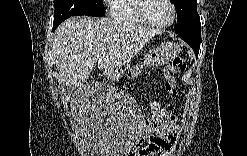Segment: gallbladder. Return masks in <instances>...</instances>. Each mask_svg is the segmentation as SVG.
I'll return each mask as SVG.
<instances>
[{"label": "gallbladder", "mask_w": 247, "mask_h": 156, "mask_svg": "<svg viewBox=\"0 0 247 156\" xmlns=\"http://www.w3.org/2000/svg\"><path fill=\"white\" fill-rule=\"evenodd\" d=\"M71 91V86H66L65 87V92H70Z\"/></svg>", "instance_id": "gallbladder-1"}]
</instances>
